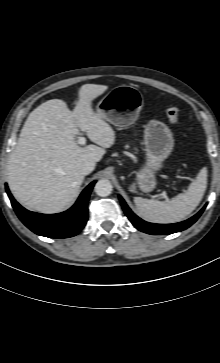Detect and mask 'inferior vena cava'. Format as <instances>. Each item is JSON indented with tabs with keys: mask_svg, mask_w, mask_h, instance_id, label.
I'll use <instances>...</instances> for the list:
<instances>
[{
	"mask_svg": "<svg viewBox=\"0 0 220 363\" xmlns=\"http://www.w3.org/2000/svg\"><path fill=\"white\" fill-rule=\"evenodd\" d=\"M95 169V163L91 161H87L82 164L81 166V172L83 175L90 174Z\"/></svg>",
	"mask_w": 220,
	"mask_h": 363,
	"instance_id": "1",
	"label": "inferior vena cava"
}]
</instances>
